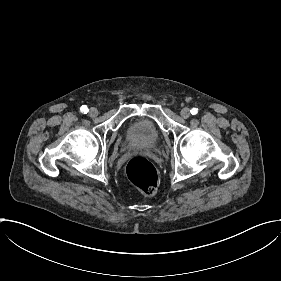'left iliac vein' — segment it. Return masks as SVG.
<instances>
[{
	"instance_id": "1",
	"label": "left iliac vein",
	"mask_w": 281,
	"mask_h": 281,
	"mask_svg": "<svg viewBox=\"0 0 281 281\" xmlns=\"http://www.w3.org/2000/svg\"><path fill=\"white\" fill-rule=\"evenodd\" d=\"M190 116V109L188 107H183L180 112V117L182 119H187Z\"/></svg>"
}]
</instances>
